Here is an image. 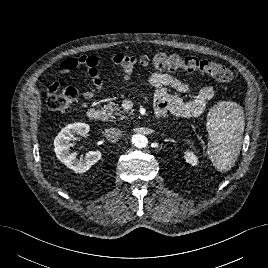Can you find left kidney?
Segmentation results:
<instances>
[{
    "label": "left kidney",
    "mask_w": 268,
    "mask_h": 268,
    "mask_svg": "<svg viewBox=\"0 0 268 268\" xmlns=\"http://www.w3.org/2000/svg\"><path fill=\"white\" fill-rule=\"evenodd\" d=\"M184 159L187 163L191 164L192 166L198 165V157L194 154L193 151H186L184 153Z\"/></svg>",
    "instance_id": "obj_1"
}]
</instances>
